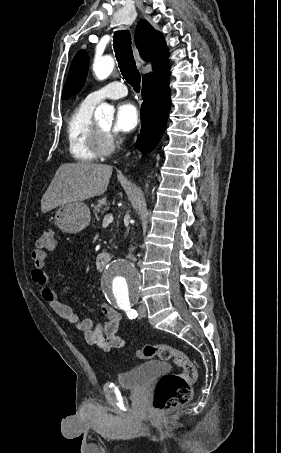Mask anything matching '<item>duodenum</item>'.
<instances>
[{
  "label": "duodenum",
  "instance_id": "obj_1",
  "mask_svg": "<svg viewBox=\"0 0 281 453\" xmlns=\"http://www.w3.org/2000/svg\"><path fill=\"white\" fill-rule=\"evenodd\" d=\"M111 256L108 252H100L96 257V266L99 270L105 269V267L110 263Z\"/></svg>",
  "mask_w": 281,
  "mask_h": 453
}]
</instances>
